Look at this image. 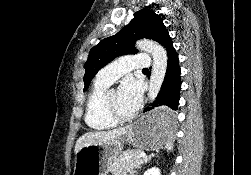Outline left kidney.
<instances>
[{"mask_svg":"<svg viewBox=\"0 0 251 175\" xmlns=\"http://www.w3.org/2000/svg\"><path fill=\"white\" fill-rule=\"evenodd\" d=\"M144 175H161L159 167H150L147 171H144Z\"/></svg>","mask_w":251,"mask_h":175,"instance_id":"1","label":"left kidney"}]
</instances>
